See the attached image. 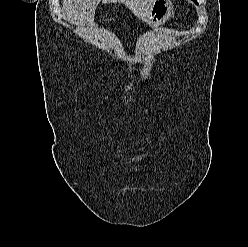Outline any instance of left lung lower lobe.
<instances>
[{"label":"left lung lower lobe","instance_id":"left-lung-lower-lobe-1","mask_svg":"<svg viewBox=\"0 0 248 247\" xmlns=\"http://www.w3.org/2000/svg\"><path fill=\"white\" fill-rule=\"evenodd\" d=\"M194 3L198 4L197 0H192Z\"/></svg>","mask_w":248,"mask_h":247}]
</instances>
